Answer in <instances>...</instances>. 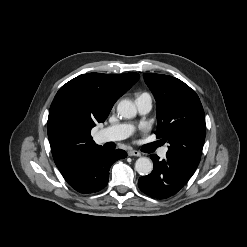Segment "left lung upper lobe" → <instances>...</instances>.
<instances>
[{"label": "left lung upper lobe", "mask_w": 247, "mask_h": 247, "mask_svg": "<svg viewBox=\"0 0 247 247\" xmlns=\"http://www.w3.org/2000/svg\"><path fill=\"white\" fill-rule=\"evenodd\" d=\"M143 76L157 102V138L168 141L167 155L197 168L205 141V115L198 95L175 77Z\"/></svg>", "instance_id": "left-lung-upper-lobe-1"}]
</instances>
